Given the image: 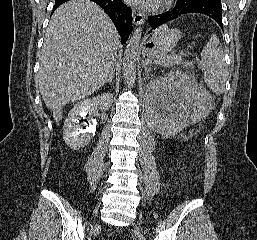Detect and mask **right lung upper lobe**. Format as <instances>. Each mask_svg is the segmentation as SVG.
Masks as SVG:
<instances>
[{
  "instance_id": "obj_1",
  "label": "right lung upper lobe",
  "mask_w": 257,
  "mask_h": 240,
  "mask_svg": "<svg viewBox=\"0 0 257 240\" xmlns=\"http://www.w3.org/2000/svg\"><path fill=\"white\" fill-rule=\"evenodd\" d=\"M66 1H68V0H55V5L63 4Z\"/></svg>"
}]
</instances>
